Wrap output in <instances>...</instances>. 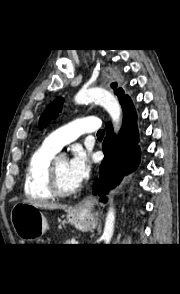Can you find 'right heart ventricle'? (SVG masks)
<instances>
[{
	"instance_id": "obj_1",
	"label": "right heart ventricle",
	"mask_w": 180,
	"mask_h": 294,
	"mask_svg": "<svg viewBox=\"0 0 180 294\" xmlns=\"http://www.w3.org/2000/svg\"><path fill=\"white\" fill-rule=\"evenodd\" d=\"M57 151L42 144L29 158L24 180V193L26 196L50 201L55 196L47 187L48 169Z\"/></svg>"
}]
</instances>
